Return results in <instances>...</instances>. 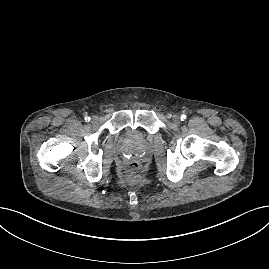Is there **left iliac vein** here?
Instances as JSON below:
<instances>
[{
    "label": "left iliac vein",
    "instance_id": "1",
    "mask_svg": "<svg viewBox=\"0 0 269 269\" xmlns=\"http://www.w3.org/2000/svg\"><path fill=\"white\" fill-rule=\"evenodd\" d=\"M172 121H173L175 124H179V123H180V116H179V115H173V117H172Z\"/></svg>",
    "mask_w": 269,
    "mask_h": 269
}]
</instances>
